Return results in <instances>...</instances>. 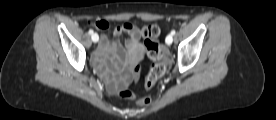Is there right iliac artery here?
Instances as JSON below:
<instances>
[{
    "label": "right iliac artery",
    "mask_w": 276,
    "mask_h": 120,
    "mask_svg": "<svg viewBox=\"0 0 276 120\" xmlns=\"http://www.w3.org/2000/svg\"><path fill=\"white\" fill-rule=\"evenodd\" d=\"M88 33L90 34V35H93V30L92 29H90L89 31H88ZM98 39H99V37H98Z\"/></svg>",
    "instance_id": "82829eb1"
}]
</instances>
